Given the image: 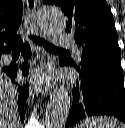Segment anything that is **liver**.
<instances>
[{
  "label": "liver",
  "mask_w": 125,
  "mask_h": 128,
  "mask_svg": "<svg viewBox=\"0 0 125 128\" xmlns=\"http://www.w3.org/2000/svg\"><path fill=\"white\" fill-rule=\"evenodd\" d=\"M0 128H19L17 92L12 82L0 74Z\"/></svg>",
  "instance_id": "obj_1"
}]
</instances>
